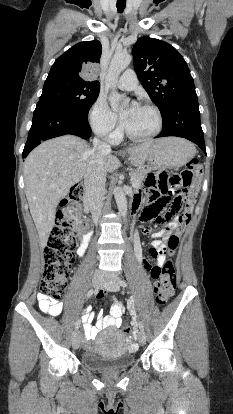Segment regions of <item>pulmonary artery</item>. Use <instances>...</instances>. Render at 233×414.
I'll list each match as a JSON object with an SVG mask.
<instances>
[{"mask_svg": "<svg viewBox=\"0 0 233 414\" xmlns=\"http://www.w3.org/2000/svg\"><path fill=\"white\" fill-rule=\"evenodd\" d=\"M117 85L123 90H133L138 86L136 73L132 69H127L118 79Z\"/></svg>", "mask_w": 233, "mask_h": 414, "instance_id": "1", "label": "pulmonary artery"}]
</instances>
